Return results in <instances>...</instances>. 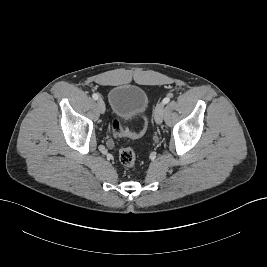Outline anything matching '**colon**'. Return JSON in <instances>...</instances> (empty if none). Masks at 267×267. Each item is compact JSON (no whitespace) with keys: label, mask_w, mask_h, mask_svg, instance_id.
<instances>
[{"label":"colon","mask_w":267,"mask_h":267,"mask_svg":"<svg viewBox=\"0 0 267 267\" xmlns=\"http://www.w3.org/2000/svg\"><path fill=\"white\" fill-rule=\"evenodd\" d=\"M146 128V119L143 128L139 131H131L129 129H124L118 119H114L111 123V129L115 137L128 136L132 138H139L144 135ZM119 160L122 165L126 167H133L136 161L135 152L130 147H121L119 150Z\"/></svg>","instance_id":"colon-1"}]
</instances>
